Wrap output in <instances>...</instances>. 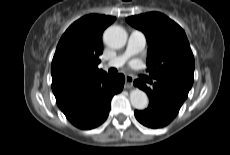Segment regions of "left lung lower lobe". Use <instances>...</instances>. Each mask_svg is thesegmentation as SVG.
Returning <instances> with one entry per match:
<instances>
[{
    "mask_svg": "<svg viewBox=\"0 0 230 155\" xmlns=\"http://www.w3.org/2000/svg\"><path fill=\"white\" fill-rule=\"evenodd\" d=\"M134 85L149 95L148 108L135 111L137 120L149 128L168 125L176 117L188 95L177 87L157 81L153 88L147 87L140 79L135 80Z\"/></svg>",
    "mask_w": 230,
    "mask_h": 155,
    "instance_id": "left-lung-lower-lobe-1",
    "label": "left lung lower lobe"
}]
</instances>
